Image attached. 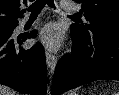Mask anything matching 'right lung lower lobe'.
<instances>
[{
  "label": "right lung lower lobe",
  "mask_w": 119,
  "mask_h": 95,
  "mask_svg": "<svg viewBox=\"0 0 119 95\" xmlns=\"http://www.w3.org/2000/svg\"><path fill=\"white\" fill-rule=\"evenodd\" d=\"M31 34L13 37L12 34L0 36V84L9 86L19 92L34 95H46L47 76L45 52L37 43L29 49L22 44Z\"/></svg>",
  "instance_id": "1"
}]
</instances>
